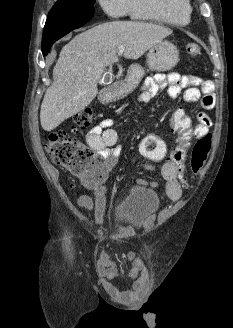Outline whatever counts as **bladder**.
Returning <instances> with one entry per match:
<instances>
[{
    "instance_id": "obj_1",
    "label": "bladder",
    "mask_w": 233,
    "mask_h": 328,
    "mask_svg": "<svg viewBox=\"0 0 233 328\" xmlns=\"http://www.w3.org/2000/svg\"><path fill=\"white\" fill-rule=\"evenodd\" d=\"M160 207L158 194L147 187H132L123 193L119 203L117 214L119 220L140 225L154 215Z\"/></svg>"
}]
</instances>
